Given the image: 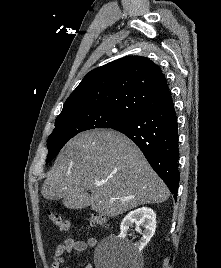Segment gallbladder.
I'll list each match as a JSON object with an SVG mask.
<instances>
[{
  "mask_svg": "<svg viewBox=\"0 0 221 268\" xmlns=\"http://www.w3.org/2000/svg\"><path fill=\"white\" fill-rule=\"evenodd\" d=\"M85 196L88 197L89 195L86 194ZM66 204H70V209H84L89 206L86 199H66Z\"/></svg>",
  "mask_w": 221,
  "mask_h": 268,
  "instance_id": "bac80fb5",
  "label": "gallbladder"
}]
</instances>
